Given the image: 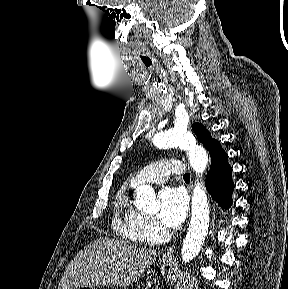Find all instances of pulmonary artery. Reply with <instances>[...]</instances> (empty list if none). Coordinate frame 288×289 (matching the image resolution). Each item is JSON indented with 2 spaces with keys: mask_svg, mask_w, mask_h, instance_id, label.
Listing matches in <instances>:
<instances>
[{
  "mask_svg": "<svg viewBox=\"0 0 288 289\" xmlns=\"http://www.w3.org/2000/svg\"><path fill=\"white\" fill-rule=\"evenodd\" d=\"M185 173V165L177 159H162L142 168L131 179L132 185L141 183H163L170 175H181Z\"/></svg>",
  "mask_w": 288,
  "mask_h": 289,
  "instance_id": "e3ab8cb5",
  "label": "pulmonary artery"
}]
</instances>
